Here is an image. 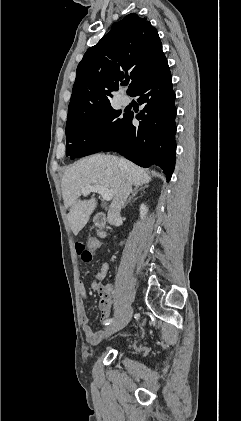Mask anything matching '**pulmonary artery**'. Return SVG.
Wrapping results in <instances>:
<instances>
[{"instance_id":"1","label":"pulmonary artery","mask_w":241,"mask_h":421,"mask_svg":"<svg viewBox=\"0 0 241 421\" xmlns=\"http://www.w3.org/2000/svg\"><path fill=\"white\" fill-rule=\"evenodd\" d=\"M120 102L122 105H128L130 103V98L127 95H122L120 97Z\"/></svg>"}]
</instances>
